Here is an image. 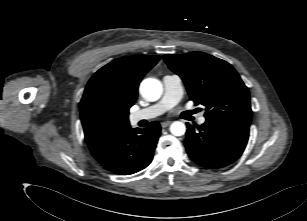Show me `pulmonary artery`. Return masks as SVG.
I'll list each match as a JSON object with an SVG mask.
<instances>
[{
	"instance_id": "obj_1",
	"label": "pulmonary artery",
	"mask_w": 307,
	"mask_h": 221,
	"mask_svg": "<svg viewBox=\"0 0 307 221\" xmlns=\"http://www.w3.org/2000/svg\"><path fill=\"white\" fill-rule=\"evenodd\" d=\"M164 94L159 102L147 108L133 112L130 115V122L136 124L142 120H150L176 105L183 96L182 79L175 74H168L163 77ZM198 122L204 124L206 118L199 117Z\"/></svg>"
}]
</instances>
